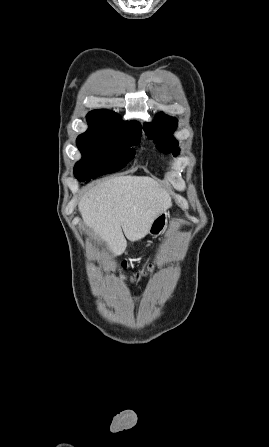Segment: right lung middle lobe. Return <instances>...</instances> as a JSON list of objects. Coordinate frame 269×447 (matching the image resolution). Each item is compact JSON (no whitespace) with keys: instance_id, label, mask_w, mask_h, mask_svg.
I'll return each mask as SVG.
<instances>
[{"instance_id":"right-lung-middle-lobe-1","label":"right lung middle lobe","mask_w":269,"mask_h":447,"mask_svg":"<svg viewBox=\"0 0 269 447\" xmlns=\"http://www.w3.org/2000/svg\"><path fill=\"white\" fill-rule=\"evenodd\" d=\"M141 127H109L89 123V129L77 138L82 159L74 167L80 181L122 169L134 158L133 145L140 143Z\"/></svg>"}]
</instances>
